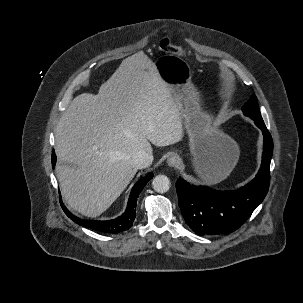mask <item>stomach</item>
<instances>
[{
  "instance_id": "0dacf381",
  "label": "stomach",
  "mask_w": 303,
  "mask_h": 303,
  "mask_svg": "<svg viewBox=\"0 0 303 303\" xmlns=\"http://www.w3.org/2000/svg\"><path fill=\"white\" fill-rule=\"evenodd\" d=\"M155 67L181 106L196 174L206 184L224 180L238 162V144L214 128L212 117L202 111L200 94L191 82L192 71L185 60L164 55Z\"/></svg>"
}]
</instances>
